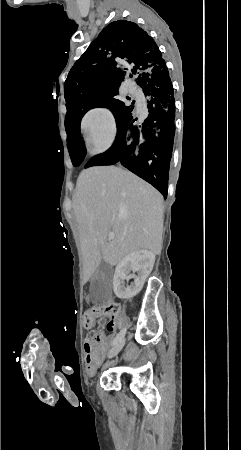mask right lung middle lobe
<instances>
[{
  "instance_id": "1",
  "label": "right lung middle lobe",
  "mask_w": 241,
  "mask_h": 450,
  "mask_svg": "<svg viewBox=\"0 0 241 450\" xmlns=\"http://www.w3.org/2000/svg\"><path fill=\"white\" fill-rule=\"evenodd\" d=\"M64 94L67 108L65 122H68L70 117L83 116L89 109L95 107L109 108L116 119L117 125L135 116V101L130 106H126L117 97L119 90L93 86L87 80L71 72H69L65 81ZM69 151L73 165L79 166L83 162L85 154H78L73 150Z\"/></svg>"
}]
</instances>
